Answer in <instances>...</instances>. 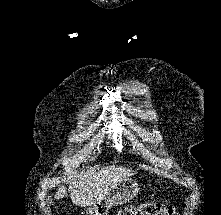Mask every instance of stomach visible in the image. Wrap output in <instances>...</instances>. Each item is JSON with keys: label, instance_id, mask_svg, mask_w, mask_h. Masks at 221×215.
<instances>
[{"label": "stomach", "instance_id": "obj_1", "mask_svg": "<svg viewBox=\"0 0 221 215\" xmlns=\"http://www.w3.org/2000/svg\"><path fill=\"white\" fill-rule=\"evenodd\" d=\"M139 186L136 181L127 178L116 184L107 195L98 203L87 209V215H107L113 206L125 204L138 193Z\"/></svg>", "mask_w": 221, "mask_h": 215}]
</instances>
